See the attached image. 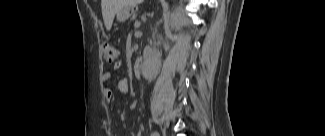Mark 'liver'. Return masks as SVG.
<instances>
[{
    "label": "liver",
    "mask_w": 325,
    "mask_h": 136,
    "mask_svg": "<svg viewBox=\"0 0 325 136\" xmlns=\"http://www.w3.org/2000/svg\"><path fill=\"white\" fill-rule=\"evenodd\" d=\"M142 0H101L102 16L106 29L112 27L115 14L125 7L141 3Z\"/></svg>",
    "instance_id": "6515ba94"
}]
</instances>
